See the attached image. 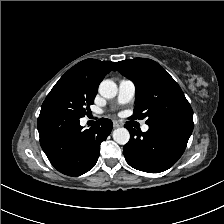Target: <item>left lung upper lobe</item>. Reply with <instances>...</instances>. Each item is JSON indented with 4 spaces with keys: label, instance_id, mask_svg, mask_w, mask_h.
<instances>
[{
    "label": "left lung upper lobe",
    "instance_id": "left-lung-upper-lobe-1",
    "mask_svg": "<svg viewBox=\"0 0 224 224\" xmlns=\"http://www.w3.org/2000/svg\"><path fill=\"white\" fill-rule=\"evenodd\" d=\"M136 87L134 114L147 124L191 123L193 111L177 82L157 62L146 58L120 61L114 69Z\"/></svg>",
    "mask_w": 224,
    "mask_h": 224
}]
</instances>
